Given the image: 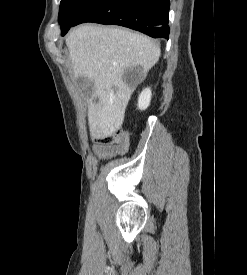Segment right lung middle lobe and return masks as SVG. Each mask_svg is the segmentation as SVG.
I'll return each mask as SVG.
<instances>
[{"mask_svg":"<svg viewBox=\"0 0 247 275\" xmlns=\"http://www.w3.org/2000/svg\"><path fill=\"white\" fill-rule=\"evenodd\" d=\"M100 0H61L58 20L61 32L68 31L75 20L89 7Z\"/></svg>","mask_w":247,"mask_h":275,"instance_id":"1","label":"right lung middle lobe"}]
</instances>
